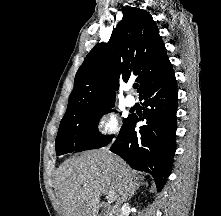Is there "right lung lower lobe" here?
<instances>
[{
    "label": "right lung lower lobe",
    "instance_id": "obj_1",
    "mask_svg": "<svg viewBox=\"0 0 221 216\" xmlns=\"http://www.w3.org/2000/svg\"><path fill=\"white\" fill-rule=\"evenodd\" d=\"M144 100L146 125L135 131L140 118L128 116L110 151L122 157L132 168L150 173L161 191L171 171L176 150L177 84L170 70L140 95Z\"/></svg>",
    "mask_w": 221,
    "mask_h": 216
}]
</instances>
